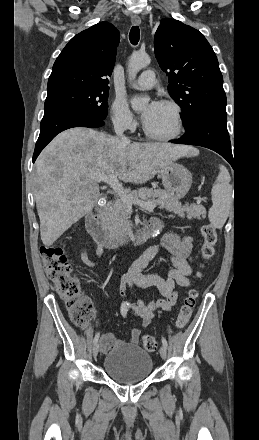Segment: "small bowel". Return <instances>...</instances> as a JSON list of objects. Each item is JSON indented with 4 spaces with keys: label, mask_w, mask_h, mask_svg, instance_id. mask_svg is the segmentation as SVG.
Wrapping results in <instances>:
<instances>
[{
    "label": "small bowel",
    "mask_w": 259,
    "mask_h": 440,
    "mask_svg": "<svg viewBox=\"0 0 259 440\" xmlns=\"http://www.w3.org/2000/svg\"><path fill=\"white\" fill-rule=\"evenodd\" d=\"M156 219L160 227L163 226V221ZM103 246L97 243L96 259H91L88 256L87 250L81 252L82 262L89 267L97 264L102 255ZM164 255L171 264L166 277L158 274L143 275L142 270L155 258ZM192 261H193V244L192 238L189 236L182 237L178 233L170 230L161 240L160 245L148 248L129 268V270L122 276L120 282V294L124 298L120 306L122 316H133L141 321V326L147 328L158 309L170 310L178 302L181 290L176 287L186 288L191 285L190 276L192 275ZM155 287L163 296L157 301H143L136 298L134 301L126 299L128 293L134 294V287ZM141 336L139 328H133L130 332L128 343L130 345H137ZM124 341L117 339L112 333L103 332L100 340V348L102 352L123 345Z\"/></svg>",
    "instance_id": "c3829d8e"
}]
</instances>
